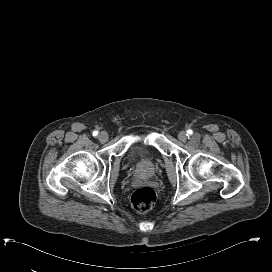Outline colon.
I'll list each match as a JSON object with an SVG mask.
<instances>
[{
	"mask_svg": "<svg viewBox=\"0 0 272 272\" xmlns=\"http://www.w3.org/2000/svg\"><path fill=\"white\" fill-rule=\"evenodd\" d=\"M156 198V193L152 188L142 187L133 192L131 203L138 213H146L153 207Z\"/></svg>",
	"mask_w": 272,
	"mask_h": 272,
	"instance_id": "colon-1",
	"label": "colon"
}]
</instances>
